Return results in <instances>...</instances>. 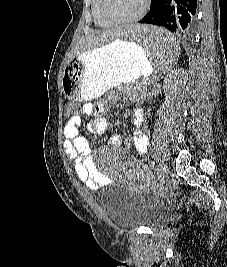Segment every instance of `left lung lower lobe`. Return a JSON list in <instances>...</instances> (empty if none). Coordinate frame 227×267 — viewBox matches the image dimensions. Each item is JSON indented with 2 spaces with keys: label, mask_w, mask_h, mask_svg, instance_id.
I'll use <instances>...</instances> for the list:
<instances>
[{
  "label": "left lung lower lobe",
  "mask_w": 227,
  "mask_h": 267,
  "mask_svg": "<svg viewBox=\"0 0 227 267\" xmlns=\"http://www.w3.org/2000/svg\"><path fill=\"white\" fill-rule=\"evenodd\" d=\"M196 8L197 0H152L150 11L139 23L162 26L188 38L194 29Z\"/></svg>",
  "instance_id": "obj_1"
}]
</instances>
